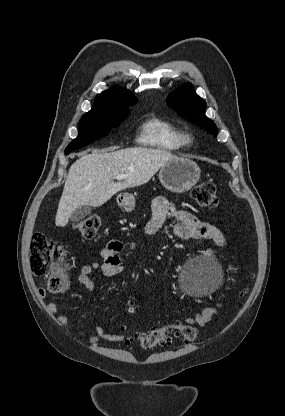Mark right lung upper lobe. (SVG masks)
<instances>
[{
    "instance_id": "1",
    "label": "right lung upper lobe",
    "mask_w": 285,
    "mask_h": 416,
    "mask_svg": "<svg viewBox=\"0 0 285 416\" xmlns=\"http://www.w3.org/2000/svg\"><path fill=\"white\" fill-rule=\"evenodd\" d=\"M137 101L138 100L130 91L120 87H114L98 94L92 109L114 110L128 108L129 106L136 104Z\"/></svg>"
}]
</instances>
